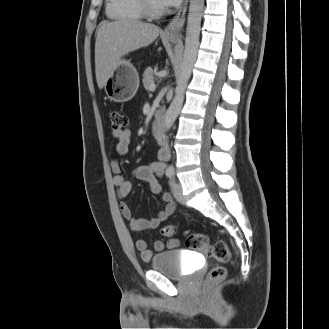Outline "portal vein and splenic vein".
Returning a JSON list of instances; mask_svg holds the SVG:
<instances>
[{"instance_id":"1","label":"portal vein and splenic vein","mask_w":329,"mask_h":329,"mask_svg":"<svg viewBox=\"0 0 329 329\" xmlns=\"http://www.w3.org/2000/svg\"><path fill=\"white\" fill-rule=\"evenodd\" d=\"M156 89V85L153 83H151L150 87H149V90L150 91H154Z\"/></svg>"}]
</instances>
